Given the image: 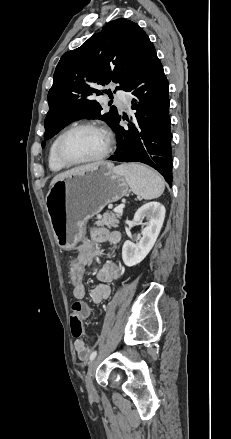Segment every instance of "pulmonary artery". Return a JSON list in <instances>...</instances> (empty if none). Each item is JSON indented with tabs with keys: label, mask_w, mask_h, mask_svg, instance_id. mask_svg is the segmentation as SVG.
I'll list each match as a JSON object with an SVG mask.
<instances>
[{
	"label": "pulmonary artery",
	"mask_w": 231,
	"mask_h": 439,
	"mask_svg": "<svg viewBox=\"0 0 231 439\" xmlns=\"http://www.w3.org/2000/svg\"><path fill=\"white\" fill-rule=\"evenodd\" d=\"M116 97H117V99L119 100V102L122 104V105H124V106H128V104H129V99H128V97H127V95L123 92V91H118L117 93H116Z\"/></svg>",
	"instance_id": "1"
}]
</instances>
